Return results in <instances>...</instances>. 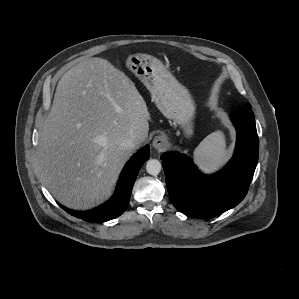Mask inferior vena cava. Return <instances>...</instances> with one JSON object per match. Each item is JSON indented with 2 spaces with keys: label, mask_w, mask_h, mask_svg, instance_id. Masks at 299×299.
<instances>
[{
  "label": "inferior vena cava",
  "mask_w": 299,
  "mask_h": 299,
  "mask_svg": "<svg viewBox=\"0 0 299 299\" xmlns=\"http://www.w3.org/2000/svg\"><path fill=\"white\" fill-rule=\"evenodd\" d=\"M138 142H139V140L136 137H130L128 139H124L121 142V145L126 149L132 150L136 147Z\"/></svg>",
  "instance_id": "inferior-vena-cava-1"
}]
</instances>
